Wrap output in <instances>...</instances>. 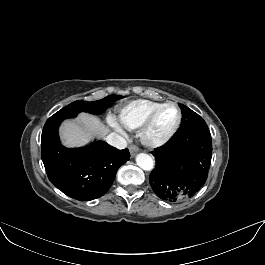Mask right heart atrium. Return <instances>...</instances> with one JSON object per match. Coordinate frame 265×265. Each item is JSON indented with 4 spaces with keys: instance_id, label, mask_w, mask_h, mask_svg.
I'll use <instances>...</instances> for the list:
<instances>
[{
    "instance_id": "obj_1",
    "label": "right heart atrium",
    "mask_w": 265,
    "mask_h": 265,
    "mask_svg": "<svg viewBox=\"0 0 265 265\" xmlns=\"http://www.w3.org/2000/svg\"><path fill=\"white\" fill-rule=\"evenodd\" d=\"M109 124L114 127L118 132L123 133L121 127L112 119H109Z\"/></svg>"
}]
</instances>
